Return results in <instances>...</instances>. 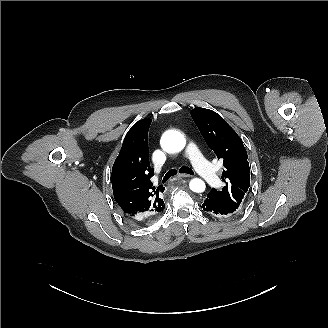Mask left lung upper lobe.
Masks as SVG:
<instances>
[{
    "label": "left lung upper lobe",
    "instance_id": "left-lung-upper-lobe-1",
    "mask_svg": "<svg viewBox=\"0 0 328 328\" xmlns=\"http://www.w3.org/2000/svg\"><path fill=\"white\" fill-rule=\"evenodd\" d=\"M191 116L207 145L224 165L222 180L226 185L221 191L212 188L208 197L233 213L239 208L250 185L248 156L242 139L212 110L197 107L191 111Z\"/></svg>",
    "mask_w": 328,
    "mask_h": 328
}]
</instances>
